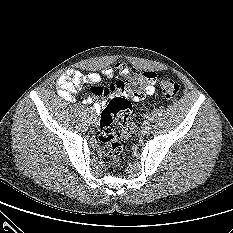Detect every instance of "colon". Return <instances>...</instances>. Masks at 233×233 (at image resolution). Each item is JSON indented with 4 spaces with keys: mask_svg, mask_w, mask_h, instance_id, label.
<instances>
[{
    "mask_svg": "<svg viewBox=\"0 0 233 233\" xmlns=\"http://www.w3.org/2000/svg\"><path fill=\"white\" fill-rule=\"evenodd\" d=\"M145 78L142 73L132 71L128 80V89L134 98L140 99L142 97V86L145 83ZM158 83L166 99L169 101L178 99L180 86L177 82L167 76H162ZM131 110L132 106L128 97L121 95L112 98L100 116L98 139L113 168L118 167L124 159V149L117 139L115 123L119 125L123 137L127 138L133 135L135 124L130 116Z\"/></svg>",
    "mask_w": 233,
    "mask_h": 233,
    "instance_id": "5ec220e1",
    "label": "colon"
}]
</instances>
